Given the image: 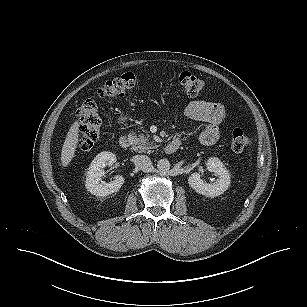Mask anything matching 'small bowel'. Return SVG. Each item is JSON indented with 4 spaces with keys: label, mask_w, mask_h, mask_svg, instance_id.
Instances as JSON below:
<instances>
[{
    "label": "small bowel",
    "mask_w": 307,
    "mask_h": 307,
    "mask_svg": "<svg viewBox=\"0 0 307 307\" xmlns=\"http://www.w3.org/2000/svg\"><path fill=\"white\" fill-rule=\"evenodd\" d=\"M185 115L204 124L199 133V141L202 144L212 145L219 140V125L227 117L221 105L206 100H194L186 106Z\"/></svg>",
    "instance_id": "1"
}]
</instances>
